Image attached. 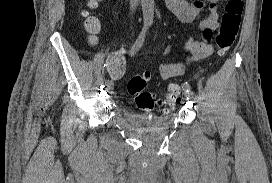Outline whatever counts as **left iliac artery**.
Masks as SVG:
<instances>
[{
	"mask_svg": "<svg viewBox=\"0 0 272 183\" xmlns=\"http://www.w3.org/2000/svg\"><path fill=\"white\" fill-rule=\"evenodd\" d=\"M182 89L188 93H192L191 86L187 82L182 84Z\"/></svg>",
	"mask_w": 272,
	"mask_h": 183,
	"instance_id": "left-iliac-artery-1",
	"label": "left iliac artery"
}]
</instances>
